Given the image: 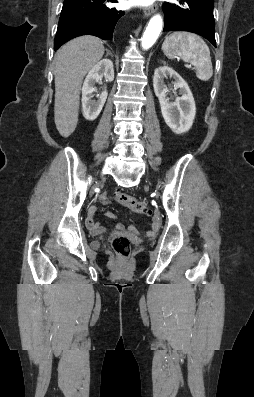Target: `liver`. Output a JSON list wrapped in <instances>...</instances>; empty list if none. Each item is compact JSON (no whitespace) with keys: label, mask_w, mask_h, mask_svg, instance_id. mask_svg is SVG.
Returning <instances> with one entry per match:
<instances>
[{"label":"liver","mask_w":254,"mask_h":397,"mask_svg":"<svg viewBox=\"0 0 254 397\" xmlns=\"http://www.w3.org/2000/svg\"><path fill=\"white\" fill-rule=\"evenodd\" d=\"M104 55L100 39L77 37L63 45L55 55V125L62 137L70 136L78 123L82 81Z\"/></svg>","instance_id":"6515ba94"}]
</instances>
